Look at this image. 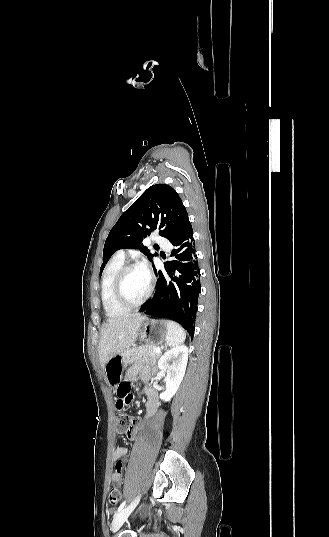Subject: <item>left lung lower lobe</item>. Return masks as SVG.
<instances>
[{
	"label": "left lung lower lobe",
	"instance_id": "obj_1",
	"mask_svg": "<svg viewBox=\"0 0 329 537\" xmlns=\"http://www.w3.org/2000/svg\"><path fill=\"white\" fill-rule=\"evenodd\" d=\"M171 244L174 246L171 256L176 259L165 263L167 274L155 270L158 277L156 292L143 304L142 311L178 322L193 337L200 279L189 221Z\"/></svg>",
	"mask_w": 329,
	"mask_h": 537
}]
</instances>
